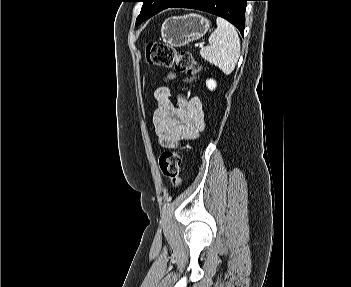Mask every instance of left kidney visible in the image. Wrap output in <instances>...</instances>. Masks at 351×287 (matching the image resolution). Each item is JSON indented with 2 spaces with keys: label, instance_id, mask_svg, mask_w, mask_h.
<instances>
[{
  "label": "left kidney",
  "instance_id": "1",
  "mask_svg": "<svg viewBox=\"0 0 351 287\" xmlns=\"http://www.w3.org/2000/svg\"><path fill=\"white\" fill-rule=\"evenodd\" d=\"M206 85L208 89L212 91L216 88V81H214L213 79H209L206 81Z\"/></svg>",
  "mask_w": 351,
  "mask_h": 287
}]
</instances>
